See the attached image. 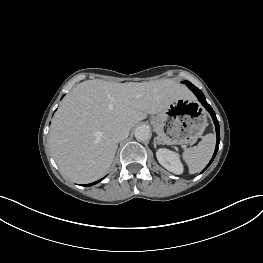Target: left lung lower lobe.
I'll list each match as a JSON object with an SVG mask.
<instances>
[{"instance_id":"obj_1","label":"left lung lower lobe","mask_w":263,"mask_h":263,"mask_svg":"<svg viewBox=\"0 0 263 263\" xmlns=\"http://www.w3.org/2000/svg\"><path fill=\"white\" fill-rule=\"evenodd\" d=\"M187 86L189 87L190 90L193 91V93L196 95V97L198 98V100L201 102V104L206 108V110L211 114L214 124H215V128H216V136H217V142H216V148H215V152L213 154L212 159L210 160L209 164L204 168V170L202 172H204L209 165L212 163V161L214 160L216 153L218 151L219 148V142H220V130H219V123L218 120L216 118L215 112L213 111V109L211 108V106L206 102L205 96L202 93V91L200 89H198L196 86L192 85V84H187Z\"/></svg>"}]
</instances>
